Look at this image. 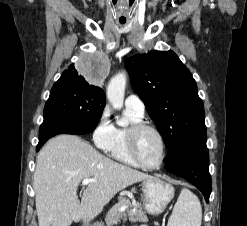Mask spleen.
<instances>
[{
    "mask_svg": "<svg viewBox=\"0 0 247 226\" xmlns=\"http://www.w3.org/2000/svg\"><path fill=\"white\" fill-rule=\"evenodd\" d=\"M202 207L199 199L190 190L182 189L168 226H201Z\"/></svg>",
    "mask_w": 247,
    "mask_h": 226,
    "instance_id": "obj_1",
    "label": "spleen"
}]
</instances>
